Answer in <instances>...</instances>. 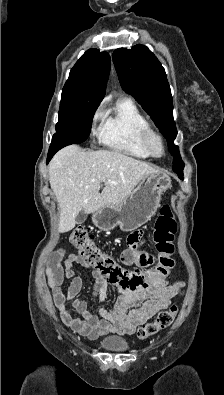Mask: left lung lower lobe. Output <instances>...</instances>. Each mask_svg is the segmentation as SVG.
<instances>
[{
    "mask_svg": "<svg viewBox=\"0 0 224 395\" xmlns=\"http://www.w3.org/2000/svg\"><path fill=\"white\" fill-rule=\"evenodd\" d=\"M183 168H184V163L182 162L179 166H177V167L174 169V171L178 174V176H179L180 178H182V175H183V172H182Z\"/></svg>",
    "mask_w": 224,
    "mask_h": 395,
    "instance_id": "left-lung-lower-lobe-1",
    "label": "left lung lower lobe"
}]
</instances>
